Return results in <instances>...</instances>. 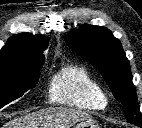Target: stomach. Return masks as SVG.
<instances>
[{
    "mask_svg": "<svg viewBox=\"0 0 142 128\" xmlns=\"http://www.w3.org/2000/svg\"><path fill=\"white\" fill-rule=\"evenodd\" d=\"M86 127L87 128H100L98 123L94 119H92V118L80 121L73 128H86Z\"/></svg>",
    "mask_w": 142,
    "mask_h": 128,
    "instance_id": "1",
    "label": "stomach"
}]
</instances>
